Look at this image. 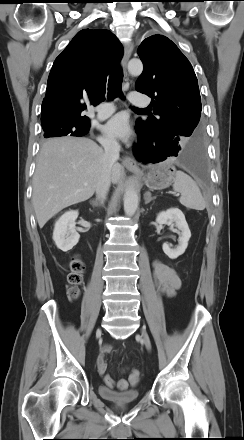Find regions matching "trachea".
Listing matches in <instances>:
<instances>
[{"label": "trachea", "instance_id": "obj_1", "mask_svg": "<svg viewBox=\"0 0 244 440\" xmlns=\"http://www.w3.org/2000/svg\"><path fill=\"white\" fill-rule=\"evenodd\" d=\"M123 74L120 67L114 69L108 81V98L114 99L116 97L123 98L122 93ZM147 111L146 109H140Z\"/></svg>", "mask_w": 244, "mask_h": 440}]
</instances>
